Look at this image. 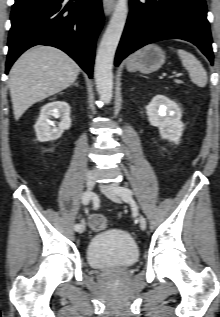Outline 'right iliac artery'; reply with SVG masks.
Wrapping results in <instances>:
<instances>
[{
    "label": "right iliac artery",
    "mask_w": 220,
    "mask_h": 317,
    "mask_svg": "<svg viewBox=\"0 0 220 317\" xmlns=\"http://www.w3.org/2000/svg\"><path fill=\"white\" fill-rule=\"evenodd\" d=\"M90 198H91V194L88 192H85L82 196V203L84 205H87L90 202ZM80 228H81V224H76L74 226L75 231H79Z\"/></svg>",
    "instance_id": "1"
}]
</instances>
